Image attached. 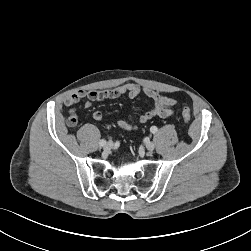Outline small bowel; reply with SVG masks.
I'll return each instance as SVG.
<instances>
[{"label":"small bowel","mask_w":251,"mask_h":251,"mask_svg":"<svg viewBox=\"0 0 251 251\" xmlns=\"http://www.w3.org/2000/svg\"><path fill=\"white\" fill-rule=\"evenodd\" d=\"M140 94H144L152 100V108L142 114L136 124L129 123L122 119L119 120L117 125L121 129L126 131H134L154 117L165 118L173 113V108L177 103L174 98L163 95L149 87H142L132 82H128L111 89L90 91L77 90L69 95L65 99L64 103L66 106H73L84 100L85 108H91L94 102L116 99L124 95L128 96L129 98H135ZM92 117L96 121H101L103 115L99 110H94L92 112Z\"/></svg>","instance_id":"1"}]
</instances>
